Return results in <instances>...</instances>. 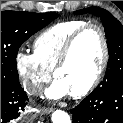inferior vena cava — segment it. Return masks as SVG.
I'll return each instance as SVG.
<instances>
[{
    "instance_id": "602c4592",
    "label": "inferior vena cava",
    "mask_w": 123,
    "mask_h": 123,
    "mask_svg": "<svg viewBox=\"0 0 123 123\" xmlns=\"http://www.w3.org/2000/svg\"><path fill=\"white\" fill-rule=\"evenodd\" d=\"M27 91L29 94L31 95H35V94H39L43 91L42 87L41 86H29L27 88Z\"/></svg>"
}]
</instances>
